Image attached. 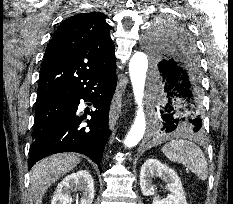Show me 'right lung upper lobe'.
<instances>
[{"label": "right lung upper lobe", "mask_w": 233, "mask_h": 204, "mask_svg": "<svg viewBox=\"0 0 233 204\" xmlns=\"http://www.w3.org/2000/svg\"><path fill=\"white\" fill-rule=\"evenodd\" d=\"M115 68V47L102 13L72 16L58 27L46 48L37 102L70 95Z\"/></svg>", "instance_id": "obj_1"}]
</instances>
